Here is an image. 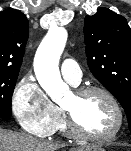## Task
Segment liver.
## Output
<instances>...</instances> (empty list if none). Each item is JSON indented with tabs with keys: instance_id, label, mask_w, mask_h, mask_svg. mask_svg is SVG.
Listing matches in <instances>:
<instances>
[{
	"instance_id": "liver-1",
	"label": "liver",
	"mask_w": 131,
	"mask_h": 151,
	"mask_svg": "<svg viewBox=\"0 0 131 151\" xmlns=\"http://www.w3.org/2000/svg\"><path fill=\"white\" fill-rule=\"evenodd\" d=\"M65 144L36 139L26 134H20L0 128V151H55ZM85 148H75L72 151H83Z\"/></svg>"
}]
</instances>
